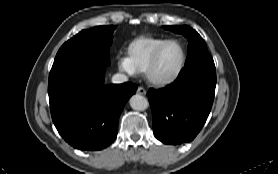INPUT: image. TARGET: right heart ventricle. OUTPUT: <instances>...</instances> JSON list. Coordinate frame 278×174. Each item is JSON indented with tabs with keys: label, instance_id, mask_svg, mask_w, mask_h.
Segmentation results:
<instances>
[{
	"label": "right heart ventricle",
	"instance_id": "obj_1",
	"mask_svg": "<svg viewBox=\"0 0 278 174\" xmlns=\"http://www.w3.org/2000/svg\"><path fill=\"white\" fill-rule=\"evenodd\" d=\"M166 39L141 36L128 46V58L136 72H144L154 50Z\"/></svg>",
	"mask_w": 278,
	"mask_h": 174
}]
</instances>
